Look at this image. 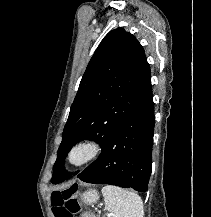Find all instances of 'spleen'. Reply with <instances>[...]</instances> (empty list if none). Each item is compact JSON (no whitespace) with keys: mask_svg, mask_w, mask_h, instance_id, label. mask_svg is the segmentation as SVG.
I'll list each match as a JSON object with an SVG mask.
<instances>
[{"mask_svg":"<svg viewBox=\"0 0 211 217\" xmlns=\"http://www.w3.org/2000/svg\"><path fill=\"white\" fill-rule=\"evenodd\" d=\"M102 194L105 208L113 217H144L143 202L138 194L111 185L103 187Z\"/></svg>","mask_w":211,"mask_h":217,"instance_id":"3e777b00","label":"spleen"}]
</instances>
